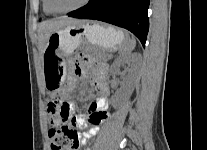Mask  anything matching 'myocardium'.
Instances as JSON below:
<instances>
[{"label":"myocardium","mask_w":207,"mask_h":150,"mask_svg":"<svg viewBox=\"0 0 207 150\" xmlns=\"http://www.w3.org/2000/svg\"><path fill=\"white\" fill-rule=\"evenodd\" d=\"M46 1H47V5H48L49 9L53 13H58V14H67V13L74 12L76 10L83 8L84 6H86L90 2V0H83L80 4H78L77 6H75L73 8H70L67 10H59L54 6L53 0H46Z\"/></svg>","instance_id":"1"}]
</instances>
